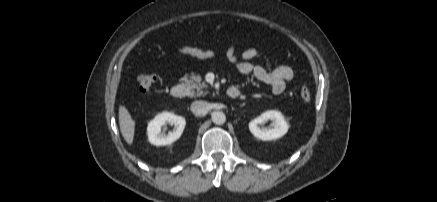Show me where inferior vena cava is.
I'll return each mask as SVG.
<instances>
[{
  "label": "inferior vena cava",
  "instance_id": "1",
  "mask_svg": "<svg viewBox=\"0 0 437 202\" xmlns=\"http://www.w3.org/2000/svg\"><path fill=\"white\" fill-rule=\"evenodd\" d=\"M191 111L197 116H205L209 111V104L205 101H195L191 104Z\"/></svg>",
  "mask_w": 437,
  "mask_h": 202
}]
</instances>
